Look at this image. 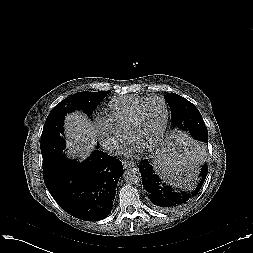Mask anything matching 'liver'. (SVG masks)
I'll return each instance as SVG.
<instances>
[{
  "instance_id": "1",
  "label": "liver",
  "mask_w": 253,
  "mask_h": 253,
  "mask_svg": "<svg viewBox=\"0 0 253 253\" xmlns=\"http://www.w3.org/2000/svg\"><path fill=\"white\" fill-rule=\"evenodd\" d=\"M65 132L70 153L90 152L95 144V131L91 121L81 112L70 114L65 120Z\"/></svg>"
}]
</instances>
